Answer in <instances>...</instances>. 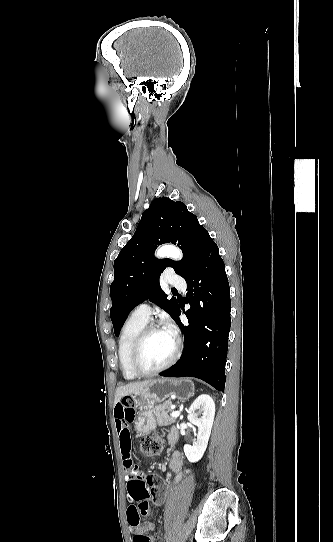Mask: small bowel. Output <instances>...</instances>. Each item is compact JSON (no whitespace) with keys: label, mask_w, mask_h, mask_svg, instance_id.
<instances>
[{"label":"small bowel","mask_w":333,"mask_h":542,"mask_svg":"<svg viewBox=\"0 0 333 542\" xmlns=\"http://www.w3.org/2000/svg\"><path fill=\"white\" fill-rule=\"evenodd\" d=\"M133 407H134V404L132 400H120L114 408L118 449L122 457V460L126 466L131 465L130 453H131L132 443H131L129 427L132 421L134 420L135 412H134ZM175 433H178V431L175 428L171 429L168 435L169 440H170V437ZM182 463H183V460L180 453L174 452L169 463V471L177 473V476L175 477V480H174L175 484H179L183 476L190 472L189 469L182 468ZM132 470L128 471L126 475V478L129 484L134 478V476L132 475ZM129 490H130V487H129ZM136 516H137V509L133 506L130 507V509L128 510V523H129L130 530L132 532L136 534L137 533L146 534L147 532L153 529L154 525L151 522H146L144 524L135 523Z\"/></svg>","instance_id":"1"}]
</instances>
